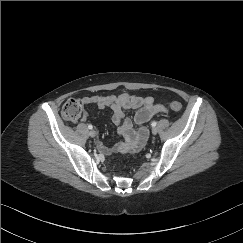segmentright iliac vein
I'll list each match as a JSON object with an SVG mask.
<instances>
[{"instance_id": "right-iliac-vein-1", "label": "right iliac vein", "mask_w": 243, "mask_h": 243, "mask_svg": "<svg viewBox=\"0 0 243 243\" xmlns=\"http://www.w3.org/2000/svg\"><path fill=\"white\" fill-rule=\"evenodd\" d=\"M89 135H90L91 137H95V136H96V131L91 130V131L89 132Z\"/></svg>"}]
</instances>
